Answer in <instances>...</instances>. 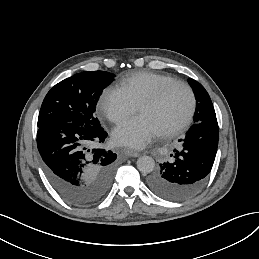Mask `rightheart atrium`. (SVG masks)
Masks as SVG:
<instances>
[{"instance_id":"right-heart-atrium-1","label":"right heart atrium","mask_w":259,"mask_h":259,"mask_svg":"<svg viewBox=\"0 0 259 259\" xmlns=\"http://www.w3.org/2000/svg\"><path fill=\"white\" fill-rule=\"evenodd\" d=\"M98 104L102 115L113 123H118L137 111V104L114 87L105 88L99 96Z\"/></svg>"}]
</instances>
